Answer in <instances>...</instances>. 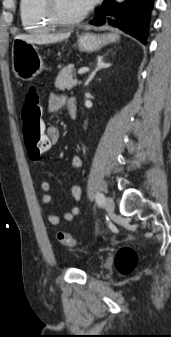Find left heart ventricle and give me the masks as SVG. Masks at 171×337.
Instances as JSON below:
<instances>
[{
  "mask_svg": "<svg viewBox=\"0 0 171 337\" xmlns=\"http://www.w3.org/2000/svg\"><path fill=\"white\" fill-rule=\"evenodd\" d=\"M59 9L64 16L73 17L81 14L85 9L81 6L79 0H58Z\"/></svg>",
  "mask_w": 171,
  "mask_h": 337,
  "instance_id": "obj_1",
  "label": "left heart ventricle"
}]
</instances>
